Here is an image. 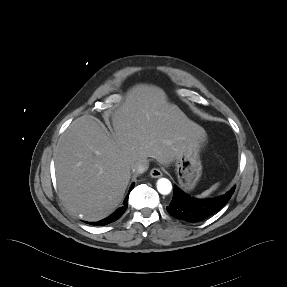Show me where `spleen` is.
Wrapping results in <instances>:
<instances>
[{"label": "spleen", "mask_w": 287, "mask_h": 287, "mask_svg": "<svg viewBox=\"0 0 287 287\" xmlns=\"http://www.w3.org/2000/svg\"><path fill=\"white\" fill-rule=\"evenodd\" d=\"M218 186V183H216L215 185H213L210 189L204 191L201 195H199L198 197H203V196H207L209 195L213 190H215Z\"/></svg>", "instance_id": "obj_1"}]
</instances>
